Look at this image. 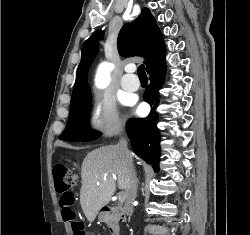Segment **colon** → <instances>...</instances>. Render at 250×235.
Returning <instances> with one entry per match:
<instances>
[{
  "mask_svg": "<svg viewBox=\"0 0 250 235\" xmlns=\"http://www.w3.org/2000/svg\"><path fill=\"white\" fill-rule=\"evenodd\" d=\"M77 173L65 164H57L54 168L56 190L60 193L59 203L63 219L71 226L73 235H86L83 222L77 217L74 209V195L71 189L78 183Z\"/></svg>",
  "mask_w": 250,
  "mask_h": 235,
  "instance_id": "1",
  "label": "colon"
}]
</instances>
